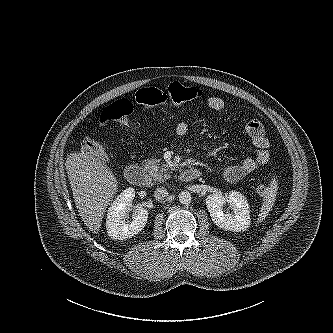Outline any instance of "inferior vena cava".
I'll list each match as a JSON object with an SVG mask.
<instances>
[{
  "mask_svg": "<svg viewBox=\"0 0 333 333\" xmlns=\"http://www.w3.org/2000/svg\"><path fill=\"white\" fill-rule=\"evenodd\" d=\"M168 196V191L166 188H157L155 191H154V197L156 200L158 201H161L163 200L165 197Z\"/></svg>",
  "mask_w": 333,
  "mask_h": 333,
  "instance_id": "602c4592",
  "label": "inferior vena cava"
}]
</instances>
